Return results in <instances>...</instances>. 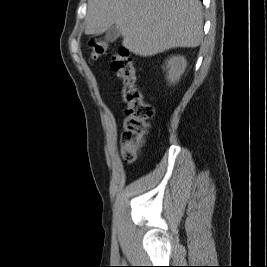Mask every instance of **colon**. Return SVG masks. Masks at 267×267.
Listing matches in <instances>:
<instances>
[{
    "label": "colon",
    "instance_id": "5ec220e1",
    "mask_svg": "<svg viewBox=\"0 0 267 267\" xmlns=\"http://www.w3.org/2000/svg\"><path fill=\"white\" fill-rule=\"evenodd\" d=\"M90 46L94 60L105 55L108 50V43L100 39L92 40ZM111 67L122 83L121 95L125 104V118L120 139L121 154L126 162H133L143 145L154 109L143 99L137 84L136 66L127 48H118L112 57Z\"/></svg>",
    "mask_w": 267,
    "mask_h": 267
}]
</instances>
